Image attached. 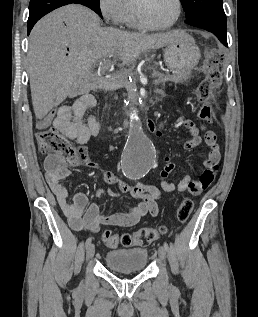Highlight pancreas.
I'll return each instance as SVG.
<instances>
[{"label": "pancreas", "mask_w": 258, "mask_h": 317, "mask_svg": "<svg viewBox=\"0 0 258 317\" xmlns=\"http://www.w3.org/2000/svg\"><path fill=\"white\" fill-rule=\"evenodd\" d=\"M104 80V85L100 86V88H105V86H109V84H116L118 90H123L124 87L126 89L127 93H133L134 92V86L131 83H127L126 77H114L112 78H100ZM156 83L152 86L155 93H161V95H166V90H163V87L161 84H171L172 79L170 77H157L154 80ZM145 92H150V87H145Z\"/></svg>", "instance_id": "pancreas-1"}]
</instances>
